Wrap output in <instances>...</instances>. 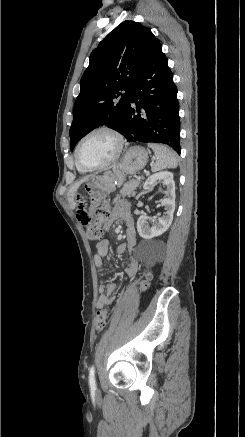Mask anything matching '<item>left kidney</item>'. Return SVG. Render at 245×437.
Wrapping results in <instances>:
<instances>
[{"instance_id":"left-kidney-1","label":"left kidney","mask_w":245,"mask_h":437,"mask_svg":"<svg viewBox=\"0 0 245 437\" xmlns=\"http://www.w3.org/2000/svg\"><path fill=\"white\" fill-rule=\"evenodd\" d=\"M157 180H162L163 185L167 187L166 198L161 201V206L165 209V214L159 218H150L147 215H142L137 220V231L139 235L150 240L154 237L162 235L172 224L173 214L175 211V182L173 174L169 171H162L151 175L143 185V189L150 191ZM149 222L153 226H149Z\"/></svg>"}]
</instances>
